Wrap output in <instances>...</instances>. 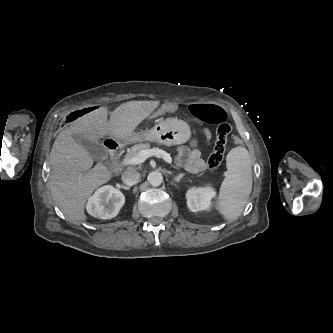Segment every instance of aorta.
<instances>
[{"instance_id": "aorta-1", "label": "aorta", "mask_w": 333, "mask_h": 333, "mask_svg": "<svg viewBox=\"0 0 333 333\" xmlns=\"http://www.w3.org/2000/svg\"><path fill=\"white\" fill-rule=\"evenodd\" d=\"M148 181L154 187L161 185V183L163 182L162 173L159 171H153V172L149 173Z\"/></svg>"}]
</instances>
